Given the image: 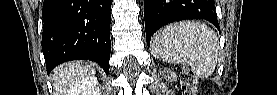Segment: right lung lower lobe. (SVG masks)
I'll use <instances>...</instances> for the list:
<instances>
[{
    "instance_id": "98d812e1",
    "label": "right lung lower lobe",
    "mask_w": 277,
    "mask_h": 95,
    "mask_svg": "<svg viewBox=\"0 0 277 95\" xmlns=\"http://www.w3.org/2000/svg\"><path fill=\"white\" fill-rule=\"evenodd\" d=\"M111 0H44L42 51L47 72L79 59L97 62L108 74Z\"/></svg>"
}]
</instances>
